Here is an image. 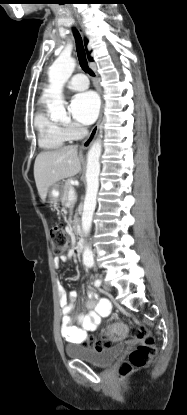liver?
Returning <instances> with one entry per match:
<instances>
[{
	"mask_svg": "<svg viewBox=\"0 0 187 415\" xmlns=\"http://www.w3.org/2000/svg\"><path fill=\"white\" fill-rule=\"evenodd\" d=\"M82 154L77 146H66L40 153L34 163V178L39 196L45 202L48 189L56 182L76 175L81 169Z\"/></svg>",
	"mask_w": 187,
	"mask_h": 415,
	"instance_id": "6515ba94",
	"label": "liver"
}]
</instances>
